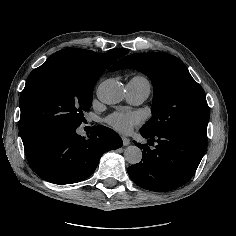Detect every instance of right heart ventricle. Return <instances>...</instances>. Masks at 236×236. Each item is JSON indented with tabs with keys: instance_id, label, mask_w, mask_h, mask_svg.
Wrapping results in <instances>:
<instances>
[{
	"instance_id": "right-heart-ventricle-1",
	"label": "right heart ventricle",
	"mask_w": 236,
	"mask_h": 236,
	"mask_svg": "<svg viewBox=\"0 0 236 236\" xmlns=\"http://www.w3.org/2000/svg\"><path fill=\"white\" fill-rule=\"evenodd\" d=\"M131 80L140 86H144L150 89V82L144 76L138 75V76L133 77Z\"/></svg>"
}]
</instances>
